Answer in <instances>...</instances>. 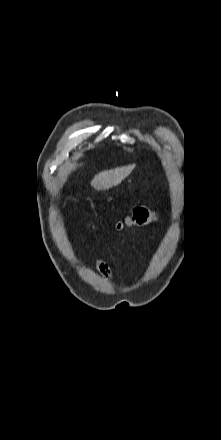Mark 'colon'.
Returning <instances> with one entry per match:
<instances>
[{"label":"colon","mask_w":221,"mask_h":440,"mask_svg":"<svg viewBox=\"0 0 221 440\" xmlns=\"http://www.w3.org/2000/svg\"><path fill=\"white\" fill-rule=\"evenodd\" d=\"M155 218L152 210L145 207H135L124 219L117 223L118 229L131 226H143L151 223Z\"/></svg>","instance_id":"colon-1"}]
</instances>
